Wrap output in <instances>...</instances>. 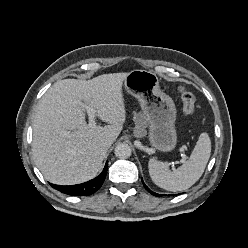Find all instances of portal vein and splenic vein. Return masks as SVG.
<instances>
[{
  "mask_svg": "<svg viewBox=\"0 0 248 248\" xmlns=\"http://www.w3.org/2000/svg\"><path fill=\"white\" fill-rule=\"evenodd\" d=\"M84 107L86 108V111H87L88 116H89V126L94 127L96 125V123H95L96 110L93 108H90L88 106H84Z\"/></svg>",
  "mask_w": 248,
  "mask_h": 248,
  "instance_id": "1",
  "label": "portal vein and splenic vein"
}]
</instances>
